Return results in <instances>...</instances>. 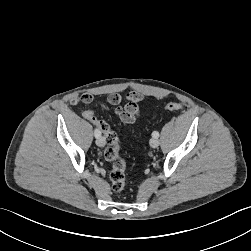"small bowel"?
Masks as SVG:
<instances>
[{
	"label": "small bowel",
	"mask_w": 251,
	"mask_h": 251,
	"mask_svg": "<svg viewBox=\"0 0 251 251\" xmlns=\"http://www.w3.org/2000/svg\"><path fill=\"white\" fill-rule=\"evenodd\" d=\"M93 96L88 93L82 94L79 98L72 100V104L77 105L80 102L89 103ZM143 100V95L137 91H130L126 94V103L121 105L122 96L119 93H112L107 98V103H100V107L108 110V105L114 107V113L126 124L135 123L140 117L139 103ZM95 114V113H94ZM99 130V129H98Z\"/></svg>",
	"instance_id": "small-bowel-1"
}]
</instances>
